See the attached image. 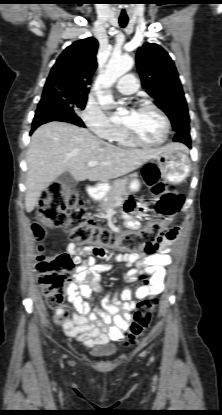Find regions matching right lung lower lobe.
Segmentation results:
<instances>
[{"mask_svg":"<svg viewBox=\"0 0 222 415\" xmlns=\"http://www.w3.org/2000/svg\"><path fill=\"white\" fill-rule=\"evenodd\" d=\"M51 121H63L85 127L73 109L58 95L49 96L39 103L33 120L31 133L40 125Z\"/></svg>","mask_w":222,"mask_h":415,"instance_id":"obj_1","label":"right lung lower lobe"}]
</instances>
